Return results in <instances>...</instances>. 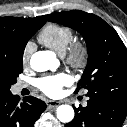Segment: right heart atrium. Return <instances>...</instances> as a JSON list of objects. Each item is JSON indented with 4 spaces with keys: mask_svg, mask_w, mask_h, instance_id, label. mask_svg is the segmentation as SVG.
Segmentation results:
<instances>
[{
    "mask_svg": "<svg viewBox=\"0 0 127 127\" xmlns=\"http://www.w3.org/2000/svg\"><path fill=\"white\" fill-rule=\"evenodd\" d=\"M34 49H35V45L32 42H28L25 45L22 55V60L25 64L29 62Z\"/></svg>",
    "mask_w": 127,
    "mask_h": 127,
    "instance_id": "d8ad5b80",
    "label": "right heart atrium"
}]
</instances>
